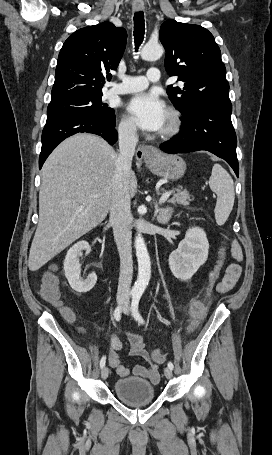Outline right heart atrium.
<instances>
[{
  "instance_id": "1",
  "label": "right heart atrium",
  "mask_w": 272,
  "mask_h": 455,
  "mask_svg": "<svg viewBox=\"0 0 272 455\" xmlns=\"http://www.w3.org/2000/svg\"><path fill=\"white\" fill-rule=\"evenodd\" d=\"M120 137L127 142H134L137 140V130L133 121L127 117H123L118 126Z\"/></svg>"
}]
</instances>
